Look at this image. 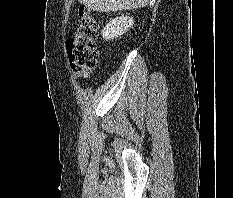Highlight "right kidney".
<instances>
[{"label":"right kidney","instance_id":"right-kidney-1","mask_svg":"<svg viewBox=\"0 0 233 198\" xmlns=\"http://www.w3.org/2000/svg\"><path fill=\"white\" fill-rule=\"evenodd\" d=\"M134 24L133 18L122 15L111 19L102 30V37L105 40H112L123 35Z\"/></svg>","mask_w":233,"mask_h":198}]
</instances>
